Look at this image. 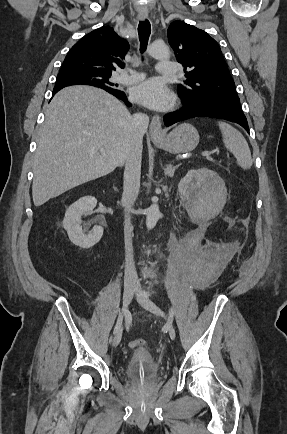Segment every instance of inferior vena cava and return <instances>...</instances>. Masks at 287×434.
<instances>
[{"instance_id": "602c4592", "label": "inferior vena cava", "mask_w": 287, "mask_h": 434, "mask_svg": "<svg viewBox=\"0 0 287 434\" xmlns=\"http://www.w3.org/2000/svg\"><path fill=\"white\" fill-rule=\"evenodd\" d=\"M135 127L134 144L129 151L124 170L122 204L125 207L124 241H125V276L126 283H138V275L134 265L132 247V225L130 211L140 189L142 138L149 124V117L144 113H136L132 118Z\"/></svg>"}]
</instances>
